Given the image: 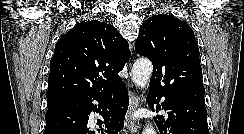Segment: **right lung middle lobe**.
<instances>
[{
    "label": "right lung middle lobe",
    "mask_w": 244,
    "mask_h": 134,
    "mask_svg": "<svg viewBox=\"0 0 244 134\" xmlns=\"http://www.w3.org/2000/svg\"><path fill=\"white\" fill-rule=\"evenodd\" d=\"M67 100H69V99H65V98H63V99H56V100L47 101V102H48L47 106H48V108H49V107H51V106H53V105L63 103V102H65V101H67Z\"/></svg>",
    "instance_id": "right-lung-middle-lobe-1"
}]
</instances>
